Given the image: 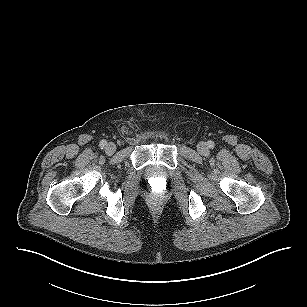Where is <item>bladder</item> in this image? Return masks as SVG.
Here are the masks:
<instances>
[{
	"label": "bladder",
	"instance_id": "1",
	"mask_svg": "<svg viewBox=\"0 0 307 307\" xmlns=\"http://www.w3.org/2000/svg\"><path fill=\"white\" fill-rule=\"evenodd\" d=\"M162 176H163V173H162L161 168L156 167V166L150 168L149 177L157 178V177H162Z\"/></svg>",
	"mask_w": 307,
	"mask_h": 307
}]
</instances>
